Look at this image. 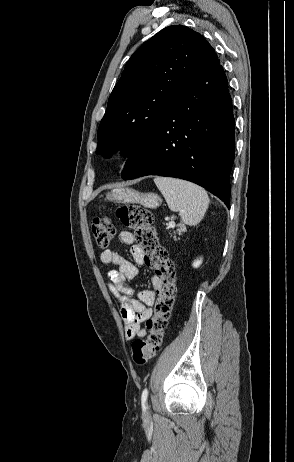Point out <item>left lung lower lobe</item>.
Segmentation results:
<instances>
[{"mask_svg":"<svg viewBox=\"0 0 294 462\" xmlns=\"http://www.w3.org/2000/svg\"><path fill=\"white\" fill-rule=\"evenodd\" d=\"M235 122L228 81L220 65L177 97L154 134L129 157L122 178L147 175L196 183L230 208Z\"/></svg>","mask_w":294,"mask_h":462,"instance_id":"left-lung-lower-lobe-1","label":"left lung lower lobe"}]
</instances>
